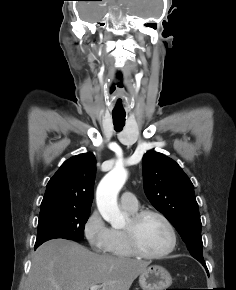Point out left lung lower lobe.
I'll use <instances>...</instances> for the list:
<instances>
[{"label": "left lung lower lobe", "mask_w": 236, "mask_h": 290, "mask_svg": "<svg viewBox=\"0 0 236 290\" xmlns=\"http://www.w3.org/2000/svg\"><path fill=\"white\" fill-rule=\"evenodd\" d=\"M203 266H205V262H200ZM207 270V269H206Z\"/></svg>", "instance_id": "obj_1"}]
</instances>
